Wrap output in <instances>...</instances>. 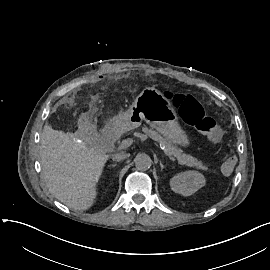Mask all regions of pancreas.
<instances>
[{"instance_id":"1","label":"pancreas","mask_w":270,"mask_h":270,"mask_svg":"<svg viewBox=\"0 0 270 270\" xmlns=\"http://www.w3.org/2000/svg\"><path fill=\"white\" fill-rule=\"evenodd\" d=\"M142 131L147 134L151 139L157 141L162 146L165 147V153L167 155H172L177 158L179 164L187 165L190 167H196L197 169L207 170L208 168L202 164L201 161H198L196 158L191 155L183 153V151L174 146L171 142L167 141L164 137H162L157 131L149 129L147 127H143Z\"/></svg>"}]
</instances>
